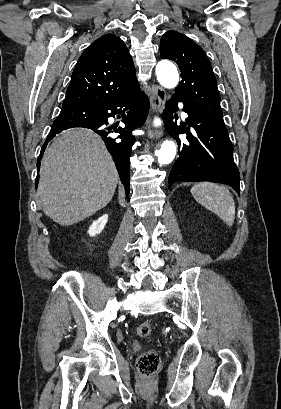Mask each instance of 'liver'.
<instances>
[{
    "label": "liver",
    "instance_id": "obj_1",
    "mask_svg": "<svg viewBox=\"0 0 281 409\" xmlns=\"http://www.w3.org/2000/svg\"><path fill=\"white\" fill-rule=\"evenodd\" d=\"M118 178L99 134L66 130L42 158L38 194L43 211L62 227L84 221L108 205Z\"/></svg>",
    "mask_w": 281,
    "mask_h": 409
}]
</instances>
